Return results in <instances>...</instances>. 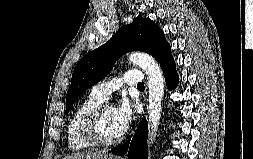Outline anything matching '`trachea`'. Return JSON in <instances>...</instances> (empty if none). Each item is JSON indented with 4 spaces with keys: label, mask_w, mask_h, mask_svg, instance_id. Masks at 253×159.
<instances>
[{
    "label": "trachea",
    "mask_w": 253,
    "mask_h": 159,
    "mask_svg": "<svg viewBox=\"0 0 253 159\" xmlns=\"http://www.w3.org/2000/svg\"><path fill=\"white\" fill-rule=\"evenodd\" d=\"M137 87H138V88H144V84L141 83V84H139Z\"/></svg>",
    "instance_id": "trachea-1"
}]
</instances>
